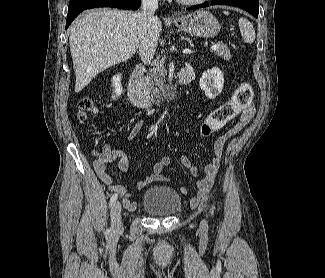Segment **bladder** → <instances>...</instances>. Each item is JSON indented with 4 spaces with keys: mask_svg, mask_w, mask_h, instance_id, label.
I'll return each mask as SVG.
<instances>
[{
    "mask_svg": "<svg viewBox=\"0 0 325 278\" xmlns=\"http://www.w3.org/2000/svg\"><path fill=\"white\" fill-rule=\"evenodd\" d=\"M142 207L150 216H171L180 210L181 197L171 187L155 185L145 191Z\"/></svg>",
    "mask_w": 325,
    "mask_h": 278,
    "instance_id": "bladder-1",
    "label": "bladder"
}]
</instances>
